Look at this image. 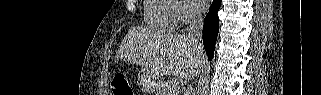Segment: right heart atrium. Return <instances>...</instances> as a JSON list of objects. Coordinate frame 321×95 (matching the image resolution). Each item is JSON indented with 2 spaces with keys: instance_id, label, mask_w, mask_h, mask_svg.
Segmentation results:
<instances>
[{
  "instance_id": "d8ad5b80",
  "label": "right heart atrium",
  "mask_w": 321,
  "mask_h": 95,
  "mask_svg": "<svg viewBox=\"0 0 321 95\" xmlns=\"http://www.w3.org/2000/svg\"><path fill=\"white\" fill-rule=\"evenodd\" d=\"M172 4V12L177 22L188 23L196 19V13L185 2L180 0H169Z\"/></svg>"
}]
</instances>
